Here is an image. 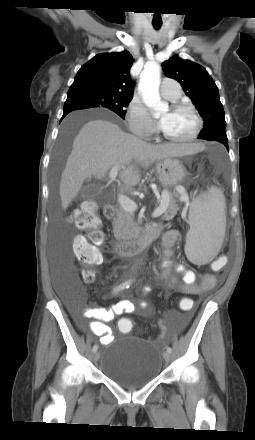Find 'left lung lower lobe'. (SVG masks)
<instances>
[{
	"label": "left lung lower lobe",
	"instance_id": "left-lung-lower-lobe-1",
	"mask_svg": "<svg viewBox=\"0 0 255 440\" xmlns=\"http://www.w3.org/2000/svg\"><path fill=\"white\" fill-rule=\"evenodd\" d=\"M221 143H223L226 146V148L228 149V142H221Z\"/></svg>",
	"mask_w": 255,
	"mask_h": 440
}]
</instances>
